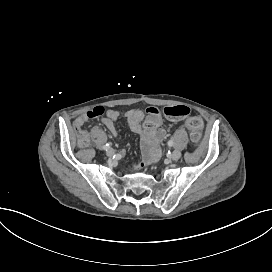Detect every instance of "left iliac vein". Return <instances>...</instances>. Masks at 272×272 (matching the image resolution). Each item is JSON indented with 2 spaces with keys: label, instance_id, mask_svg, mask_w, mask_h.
<instances>
[{
  "label": "left iliac vein",
  "instance_id": "4c4485c4",
  "mask_svg": "<svg viewBox=\"0 0 272 272\" xmlns=\"http://www.w3.org/2000/svg\"><path fill=\"white\" fill-rule=\"evenodd\" d=\"M181 157V152L179 150H174L169 156L171 161H177Z\"/></svg>",
  "mask_w": 272,
  "mask_h": 272
}]
</instances>
